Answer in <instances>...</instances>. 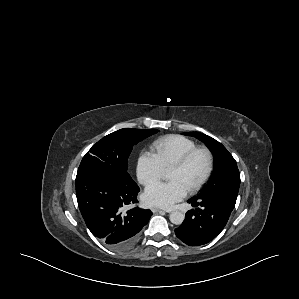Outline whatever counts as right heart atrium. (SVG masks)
<instances>
[{
  "mask_svg": "<svg viewBox=\"0 0 299 299\" xmlns=\"http://www.w3.org/2000/svg\"><path fill=\"white\" fill-rule=\"evenodd\" d=\"M164 171L155 154L148 151H142L139 154L136 162V175L141 184L148 185L159 180Z\"/></svg>",
  "mask_w": 299,
  "mask_h": 299,
  "instance_id": "d8ad5b80",
  "label": "right heart atrium"
}]
</instances>
